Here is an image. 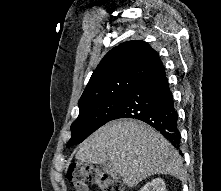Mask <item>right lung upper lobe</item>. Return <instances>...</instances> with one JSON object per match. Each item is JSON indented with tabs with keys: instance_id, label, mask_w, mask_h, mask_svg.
<instances>
[{
	"instance_id": "cb5924a9",
	"label": "right lung upper lobe",
	"mask_w": 221,
	"mask_h": 191,
	"mask_svg": "<svg viewBox=\"0 0 221 191\" xmlns=\"http://www.w3.org/2000/svg\"><path fill=\"white\" fill-rule=\"evenodd\" d=\"M162 67L155 50L144 41H128L109 51L93 72L79 109L128 93Z\"/></svg>"
}]
</instances>
